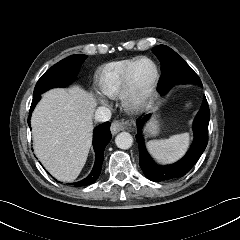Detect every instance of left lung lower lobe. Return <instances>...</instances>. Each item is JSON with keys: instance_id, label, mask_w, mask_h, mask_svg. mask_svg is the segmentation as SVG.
<instances>
[{"instance_id": "1", "label": "left lung lower lobe", "mask_w": 240, "mask_h": 240, "mask_svg": "<svg viewBox=\"0 0 240 240\" xmlns=\"http://www.w3.org/2000/svg\"><path fill=\"white\" fill-rule=\"evenodd\" d=\"M149 118L150 114L138 119V132L136 135L139 145L140 167L145 176L154 182H161L183 177L198 161L208 143V124L210 119V111L206 98L204 97L202 106L193 123L194 141L190 150L180 161L172 165H156L145 148L141 129L149 120Z\"/></svg>"}]
</instances>
